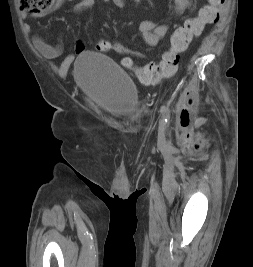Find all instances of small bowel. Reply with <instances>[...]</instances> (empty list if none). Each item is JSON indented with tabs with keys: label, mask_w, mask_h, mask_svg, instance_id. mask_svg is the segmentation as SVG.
<instances>
[{
	"label": "small bowel",
	"mask_w": 253,
	"mask_h": 267,
	"mask_svg": "<svg viewBox=\"0 0 253 267\" xmlns=\"http://www.w3.org/2000/svg\"><path fill=\"white\" fill-rule=\"evenodd\" d=\"M64 0H57V5L61 4ZM72 2L74 0H66ZM105 3L113 4L117 7H125L126 0H102ZM173 1V13L175 15H181L187 10L192 9V0H172ZM95 4V0H79L75 3L73 11L75 13H81L85 10L92 8ZM37 16V15H35ZM27 32L30 31V26L25 25ZM170 25L167 23L157 24L149 19H144L140 23V31L143 35L145 43L151 47L156 46L159 41L169 32ZM33 43L36 49L47 59L55 60L62 56L63 46L59 42L56 45L47 43L41 36L35 35L33 37ZM76 53H81L84 50V44L78 42L75 46ZM75 59L74 54L67 55L61 63L60 70H67Z\"/></svg>",
	"instance_id": "c3829d8e"
}]
</instances>
